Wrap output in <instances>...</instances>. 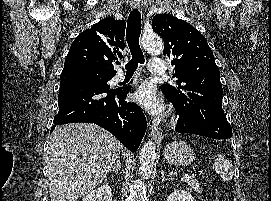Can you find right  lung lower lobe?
Instances as JSON below:
<instances>
[{"instance_id":"98d812e1","label":"right lung lower lobe","mask_w":271,"mask_h":201,"mask_svg":"<svg viewBox=\"0 0 271 201\" xmlns=\"http://www.w3.org/2000/svg\"><path fill=\"white\" fill-rule=\"evenodd\" d=\"M86 70L64 68L60 82L59 112L54 125L74 122L95 123L112 133L131 152L137 150L147 122L138 105L125 101L128 87L109 89L76 78Z\"/></svg>"}]
</instances>
